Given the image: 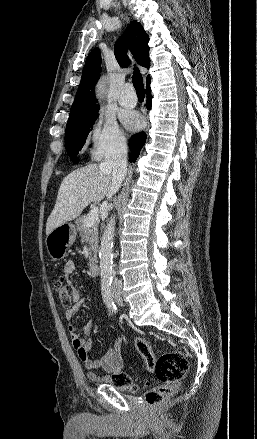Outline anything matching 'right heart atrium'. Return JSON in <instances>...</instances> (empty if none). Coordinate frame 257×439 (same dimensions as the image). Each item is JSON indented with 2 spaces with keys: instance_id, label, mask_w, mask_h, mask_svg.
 <instances>
[{
  "instance_id": "d8ad5b80",
  "label": "right heart atrium",
  "mask_w": 257,
  "mask_h": 439,
  "mask_svg": "<svg viewBox=\"0 0 257 439\" xmlns=\"http://www.w3.org/2000/svg\"><path fill=\"white\" fill-rule=\"evenodd\" d=\"M125 138L112 117L100 115L93 124L87 138L91 156L99 160L120 149Z\"/></svg>"
}]
</instances>
